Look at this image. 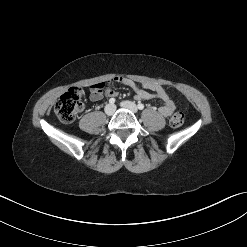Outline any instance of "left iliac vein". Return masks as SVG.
<instances>
[{
    "instance_id": "left-iliac-vein-1",
    "label": "left iliac vein",
    "mask_w": 247,
    "mask_h": 247,
    "mask_svg": "<svg viewBox=\"0 0 247 247\" xmlns=\"http://www.w3.org/2000/svg\"><path fill=\"white\" fill-rule=\"evenodd\" d=\"M120 106L132 111L133 113H136L138 111L136 104L131 101H122L120 103Z\"/></svg>"
}]
</instances>
